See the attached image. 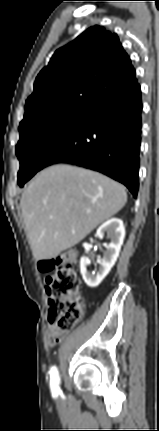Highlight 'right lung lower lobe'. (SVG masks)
<instances>
[{"mask_svg": "<svg viewBox=\"0 0 159 431\" xmlns=\"http://www.w3.org/2000/svg\"><path fill=\"white\" fill-rule=\"evenodd\" d=\"M142 107L137 85L88 114L58 140L45 155L41 169L70 163L95 170L121 182L136 197Z\"/></svg>", "mask_w": 159, "mask_h": 431, "instance_id": "1", "label": "right lung lower lobe"}]
</instances>
